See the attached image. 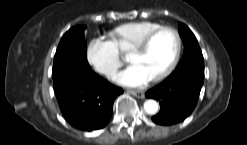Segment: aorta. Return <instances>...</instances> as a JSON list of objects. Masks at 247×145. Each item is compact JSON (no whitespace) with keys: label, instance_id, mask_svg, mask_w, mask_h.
Segmentation results:
<instances>
[{"label":"aorta","instance_id":"obj_1","mask_svg":"<svg viewBox=\"0 0 247 145\" xmlns=\"http://www.w3.org/2000/svg\"><path fill=\"white\" fill-rule=\"evenodd\" d=\"M144 110L147 114L154 115L159 110V104L152 99L146 100L144 102Z\"/></svg>","mask_w":247,"mask_h":145}]
</instances>
